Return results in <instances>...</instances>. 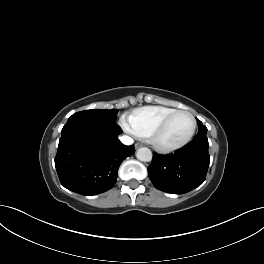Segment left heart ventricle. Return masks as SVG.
I'll use <instances>...</instances> for the list:
<instances>
[{"instance_id":"b2bd125f","label":"left heart ventricle","mask_w":264,"mask_h":264,"mask_svg":"<svg viewBox=\"0 0 264 264\" xmlns=\"http://www.w3.org/2000/svg\"><path fill=\"white\" fill-rule=\"evenodd\" d=\"M192 129V120L189 115L180 113L175 115L164 132L160 135L159 141L163 144H172L186 138Z\"/></svg>"}]
</instances>
